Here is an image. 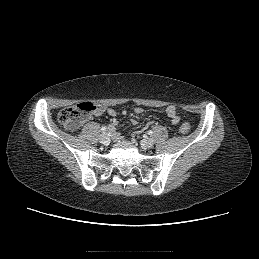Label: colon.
<instances>
[{"label":"colon","mask_w":259,"mask_h":259,"mask_svg":"<svg viewBox=\"0 0 259 259\" xmlns=\"http://www.w3.org/2000/svg\"><path fill=\"white\" fill-rule=\"evenodd\" d=\"M98 107L92 102H82L62 109L58 114L59 123L67 130H76L90 115L96 113ZM191 130L189 123L184 122L180 126L183 134Z\"/></svg>","instance_id":"1"}]
</instances>
